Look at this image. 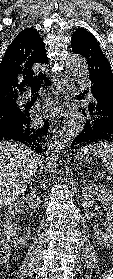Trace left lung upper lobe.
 Masks as SVG:
<instances>
[{"label":"left lung upper lobe","instance_id":"1","mask_svg":"<svg viewBox=\"0 0 113 279\" xmlns=\"http://www.w3.org/2000/svg\"><path fill=\"white\" fill-rule=\"evenodd\" d=\"M72 51L86 58L93 84L113 91V73L108 59L95 37L85 29H77L71 38Z\"/></svg>","mask_w":113,"mask_h":279}]
</instances>
